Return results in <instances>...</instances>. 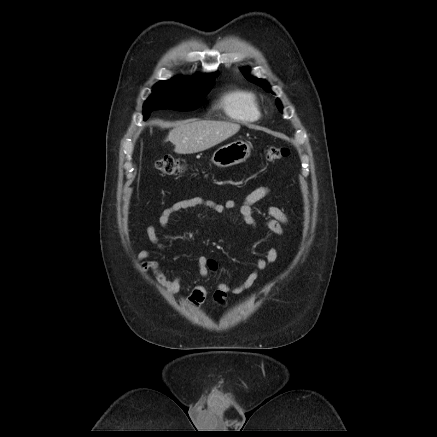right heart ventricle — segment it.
Instances as JSON below:
<instances>
[{"label":"right heart ventricle","instance_id":"right-heart-ventricle-1","mask_svg":"<svg viewBox=\"0 0 437 437\" xmlns=\"http://www.w3.org/2000/svg\"><path fill=\"white\" fill-rule=\"evenodd\" d=\"M220 103L225 113L238 122H256L261 116L257 97L246 90L230 91L221 98Z\"/></svg>","mask_w":437,"mask_h":437}]
</instances>
